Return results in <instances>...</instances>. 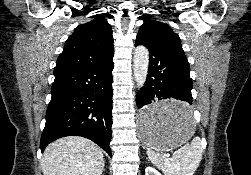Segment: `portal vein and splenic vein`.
<instances>
[{
  "label": "portal vein and splenic vein",
  "instance_id": "portal-vein-and-splenic-vein-1",
  "mask_svg": "<svg viewBox=\"0 0 251 175\" xmlns=\"http://www.w3.org/2000/svg\"><path fill=\"white\" fill-rule=\"evenodd\" d=\"M172 155H173V152L168 151V152L165 154V157H166V158H171Z\"/></svg>",
  "mask_w": 251,
  "mask_h": 175
}]
</instances>
